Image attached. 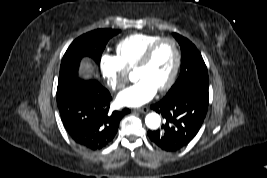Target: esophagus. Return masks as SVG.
Listing matches in <instances>:
<instances>
[{
    "instance_id": "1",
    "label": "esophagus",
    "mask_w": 267,
    "mask_h": 178,
    "mask_svg": "<svg viewBox=\"0 0 267 178\" xmlns=\"http://www.w3.org/2000/svg\"><path fill=\"white\" fill-rule=\"evenodd\" d=\"M134 111L141 112V113H147L149 111V108L143 107V108L134 109Z\"/></svg>"
}]
</instances>
